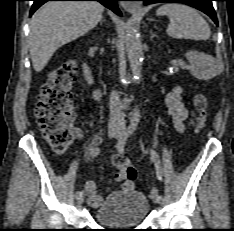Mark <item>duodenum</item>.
Wrapping results in <instances>:
<instances>
[{"mask_svg": "<svg viewBox=\"0 0 234 231\" xmlns=\"http://www.w3.org/2000/svg\"><path fill=\"white\" fill-rule=\"evenodd\" d=\"M84 75H85L86 81L88 83L94 84V77H93L92 71L88 65L84 66ZM96 91H98V89H96Z\"/></svg>", "mask_w": 234, "mask_h": 231, "instance_id": "1", "label": "duodenum"}]
</instances>
